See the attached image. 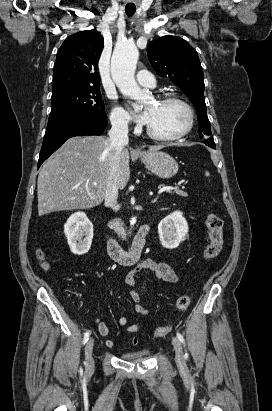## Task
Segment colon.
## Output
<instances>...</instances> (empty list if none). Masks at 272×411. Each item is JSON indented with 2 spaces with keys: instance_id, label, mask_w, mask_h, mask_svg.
<instances>
[{
  "instance_id": "1",
  "label": "colon",
  "mask_w": 272,
  "mask_h": 411,
  "mask_svg": "<svg viewBox=\"0 0 272 411\" xmlns=\"http://www.w3.org/2000/svg\"><path fill=\"white\" fill-rule=\"evenodd\" d=\"M206 225L208 228L209 243L204 250L203 259L211 260L219 255L224 244L223 221L216 214L209 212L206 216ZM42 257V254H40ZM191 298L188 294L181 295L176 302V308L179 312H184L190 305ZM172 330L171 325L160 326L154 330L155 337H164Z\"/></svg>"
}]
</instances>
